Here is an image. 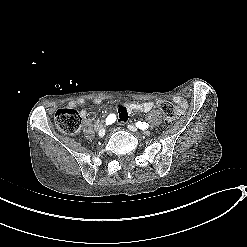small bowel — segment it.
<instances>
[{
	"label": "small bowel",
	"instance_id": "small-bowel-1",
	"mask_svg": "<svg viewBox=\"0 0 247 247\" xmlns=\"http://www.w3.org/2000/svg\"><path fill=\"white\" fill-rule=\"evenodd\" d=\"M175 102L178 105H182L185 108V101L182 97H177ZM101 100L99 98H95L93 100V104L99 105ZM84 104L83 99H76L70 103L71 107L82 106ZM155 108V103L153 102H142V103H123L117 107V117L118 121L125 122L128 119L129 114L133 112H149ZM81 116L83 118L88 117V112L85 109L81 110Z\"/></svg>",
	"mask_w": 247,
	"mask_h": 247
}]
</instances>
